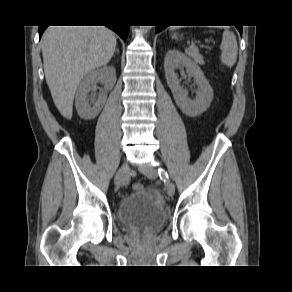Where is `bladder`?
<instances>
[{"label":"bladder","instance_id":"1","mask_svg":"<svg viewBox=\"0 0 292 292\" xmlns=\"http://www.w3.org/2000/svg\"><path fill=\"white\" fill-rule=\"evenodd\" d=\"M117 215L120 223L129 229L154 231L165 223L168 210L157 191L142 189L120 200Z\"/></svg>","mask_w":292,"mask_h":292}]
</instances>
